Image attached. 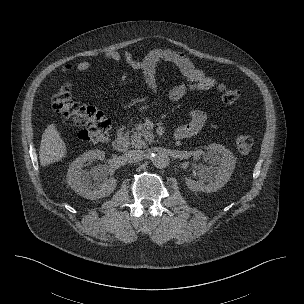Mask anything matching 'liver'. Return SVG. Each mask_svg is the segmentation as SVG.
I'll list each match as a JSON object with an SVG mask.
<instances>
[{
	"label": "liver",
	"mask_w": 304,
	"mask_h": 304,
	"mask_svg": "<svg viewBox=\"0 0 304 304\" xmlns=\"http://www.w3.org/2000/svg\"><path fill=\"white\" fill-rule=\"evenodd\" d=\"M67 150L55 124L48 125L45 129L39 150V159L42 166H47L62 160Z\"/></svg>",
	"instance_id": "liver-1"
}]
</instances>
